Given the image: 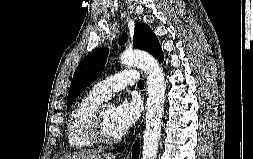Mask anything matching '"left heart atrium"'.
Returning a JSON list of instances; mask_svg holds the SVG:
<instances>
[{
	"label": "left heart atrium",
	"mask_w": 253,
	"mask_h": 159,
	"mask_svg": "<svg viewBox=\"0 0 253 159\" xmlns=\"http://www.w3.org/2000/svg\"><path fill=\"white\" fill-rule=\"evenodd\" d=\"M141 106L136 99H123L114 108V121L119 133L127 132L138 120Z\"/></svg>",
	"instance_id": "1"
}]
</instances>
